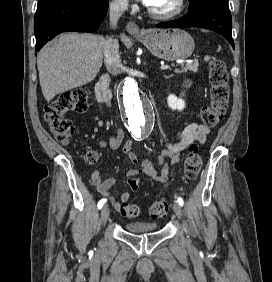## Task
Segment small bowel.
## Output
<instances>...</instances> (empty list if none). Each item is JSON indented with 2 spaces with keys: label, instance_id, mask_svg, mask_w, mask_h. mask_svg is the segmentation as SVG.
Returning <instances> with one entry per match:
<instances>
[{
  "label": "small bowel",
  "instance_id": "small-bowel-1",
  "mask_svg": "<svg viewBox=\"0 0 272 282\" xmlns=\"http://www.w3.org/2000/svg\"><path fill=\"white\" fill-rule=\"evenodd\" d=\"M209 131L210 128L206 125H199L198 123L187 125L177 136L173 137L172 140L164 143L163 149L160 151L156 161H151L148 159L142 160L140 162V168L136 170H130L129 175L137 176L144 173L161 183L167 182L172 165L178 163L180 160V153L194 142H205L206 135L209 133ZM123 139V131L118 130L116 134L109 135L102 139L100 144L103 147L115 150L121 146ZM122 153L130 160L131 163H139V160L134 153L133 141H128L125 143ZM167 157L171 159V163H165V159ZM156 166H162L160 175H157L155 169ZM90 181L101 195L108 198L114 208L119 210L123 203L128 202L130 197L128 192L122 193L120 200H115L109 195L112 187L118 182L117 177L102 179L100 172L96 170L91 173ZM131 188L132 190H138L139 186H133Z\"/></svg>",
  "mask_w": 272,
  "mask_h": 282
}]
</instances>
